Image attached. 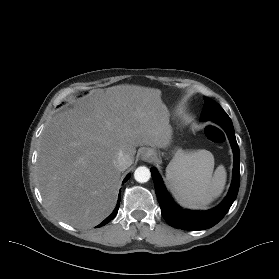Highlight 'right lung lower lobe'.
<instances>
[{
	"mask_svg": "<svg viewBox=\"0 0 279 279\" xmlns=\"http://www.w3.org/2000/svg\"><path fill=\"white\" fill-rule=\"evenodd\" d=\"M130 177V175H128L123 182L127 181V179ZM119 202H120V196L118 198V203L115 207V210L113 211V213L107 218L105 219L101 224L98 225V227H101L103 225H105L106 223L110 222L115 216L116 214L118 213V209H119Z\"/></svg>",
	"mask_w": 279,
	"mask_h": 279,
	"instance_id": "obj_1",
	"label": "right lung lower lobe"
}]
</instances>
